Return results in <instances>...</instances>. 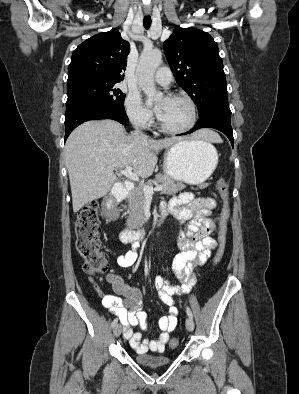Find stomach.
<instances>
[{
	"instance_id": "1",
	"label": "stomach",
	"mask_w": 299,
	"mask_h": 394,
	"mask_svg": "<svg viewBox=\"0 0 299 394\" xmlns=\"http://www.w3.org/2000/svg\"><path fill=\"white\" fill-rule=\"evenodd\" d=\"M218 163L216 149L202 140L179 141L167 149L164 157V174L173 180L190 185L206 181Z\"/></svg>"
}]
</instances>
